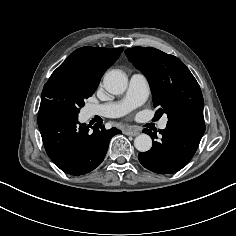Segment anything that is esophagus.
Listing matches in <instances>:
<instances>
[{"instance_id":"34e87169","label":"esophagus","mask_w":236,"mask_h":236,"mask_svg":"<svg viewBox=\"0 0 236 236\" xmlns=\"http://www.w3.org/2000/svg\"><path fill=\"white\" fill-rule=\"evenodd\" d=\"M126 135H130V136H137L139 135L138 131H125Z\"/></svg>"}]
</instances>
